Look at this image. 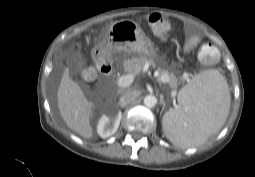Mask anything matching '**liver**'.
<instances>
[{"label":"liver","instance_id":"1","mask_svg":"<svg viewBox=\"0 0 255 177\" xmlns=\"http://www.w3.org/2000/svg\"><path fill=\"white\" fill-rule=\"evenodd\" d=\"M59 112L66 125L84 138H92L93 128L90 118L94 104L87 100L79 85L65 68L57 91Z\"/></svg>","mask_w":255,"mask_h":177}]
</instances>
